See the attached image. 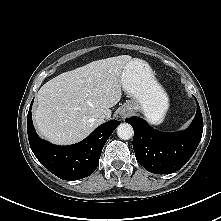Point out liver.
<instances>
[{
	"mask_svg": "<svg viewBox=\"0 0 221 221\" xmlns=\"http://www.w3.org/2000/svg\"><path fill=\"white\" fill-rule=\"evenodd\" d=\"M131 59L120 55L93 61L46 82L33 112L39 134L54 144H74L100 125L101 115L110 119V108L122 97V71Z\"/></svg>",
	"mask_w": 221,
	"mask_h": 221,
	"instance_id": "obj_1",
	"label": "liver"
}]
</instances>
